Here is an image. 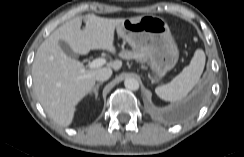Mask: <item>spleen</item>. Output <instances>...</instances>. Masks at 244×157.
Masks as SVG:
<instances>
[{
  "mask_svg": "<svg viewBox=\"0 0 244 157\" xmlns=\"http://www.w3.org/2000/svg\"><path fill=\"white\" fill-rule=\"evenodd\" d=\"M205 66V53L197 49L188 66L170 83L158 86L156 94L165 101L176 102L184 98L197 84Z\"/></svg>",
  "mask_w": 244,
  "mask_h": 157,
  "instance_id": "obj_1",
  "label": "spleen"
}]
</instances>
